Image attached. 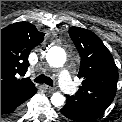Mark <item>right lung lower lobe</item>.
Here are the masks:
<instances>
[{"label":"right lung lower lobe","mask_w":122,"mask_h":122,"mask_svg":"<svg viewBox=\"0 0 122 122\" xmlns=\"http://www.w3.org/2000/svg\"><path fill=\"white\" fill-rule=\"evenodd\" d=\"M37 89L28 94H14L6 92L1 94V118H12L18 116L22 109L23 103L31 98Z\"/></svg>","instance_id":"right-lung-lower-lobe-1"}]
</instances>
